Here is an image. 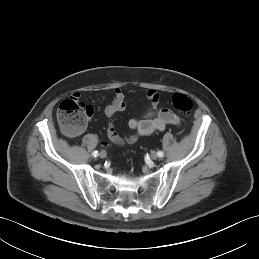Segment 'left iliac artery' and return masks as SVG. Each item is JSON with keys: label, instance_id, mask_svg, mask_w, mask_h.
Instances as JSON below:
<instances>
[{"label": "left iliac artery", "instance_id": "1", "mask_svg": "<svg viewBox=\"0 0 259 259\" xmlns=\"http://www.w3.org/2000/svg\"><path fill=\"white\" fill-rule=\"evenodd\" d=\"M158 157H163L164 156V153L162 151H158Z\"/></svg>", "mask_w": 259, "mask_h": 259}]
</instances>
